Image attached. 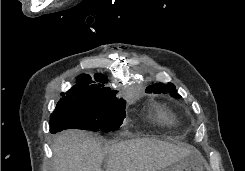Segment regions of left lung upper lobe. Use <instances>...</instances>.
<instances>
[{"mask_svg":"<svg viewBox=\"0 0 245 171\" xmlns=\"http://www.w3.org/2000/svg\"><path fill=\"white\" fill-rule=\"evenodd\" d=\"M147 92H153L156 94H160V93H170V95L172 97H177V91L175 90V86L172 83H169L167 85L161 83H156L153 84L152 86H148L147 87Z\"/></svg>","mask_w":245,"mask_h":171,"instance_id":"5c2ea615","label":"left lung upper lobe"}]
</instances>
